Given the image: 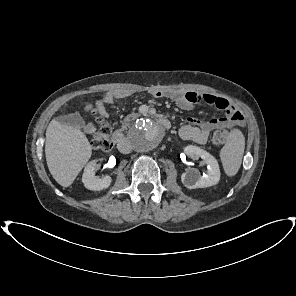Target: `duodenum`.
<instances>
[{
    "instance_id": "1",
    "label": "duodenum",
    "mask_w": 296,
    "mask_h": 296,
    "mask_svg": "<svg viewBox=\"0 0 296 296\" xmlns=\"http://www.w3.org/2000/svg\"><path fill=\"white\" fill-rule=\"evenodd\" d=\"M158 123L164 128H169L171 125L170 121L165 117H159ZM112 141L121 152L127 153L129 151V144L126 141L125 136L121 130H116L113 133Z\"/></svg>"
}]
</instances>
